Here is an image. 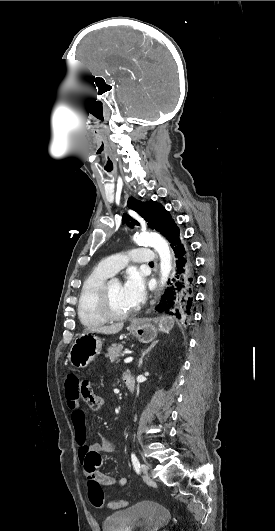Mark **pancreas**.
<instances>
[{"label": "pancreas", "mask_w": 275, "mask_h": 531, "mask_svg": "<svg viewBox=\"0 0 275 531\" xmlns=\"http://www.w3.org/2000/svg\"><path fill=\"white\" fill-rule=\"evenodd\" d=\"M122 349H123V345H116V343H113V345L109 347L108 353H106L105 357H108L111 363H114V361H118V357Z\"/></svg>", "instance_id": "cf45deb5"}]
</instances>
